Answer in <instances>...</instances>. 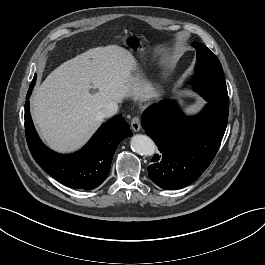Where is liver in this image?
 <instances>
[{
    "label": "liver",
    "instance_id": "liver-1",
    "mask_svg": "<svg viewBox=\"0 0 265 265\" xmlns=\"http://www.w3.org/2000/svg\"><path fill=\"white\" fill-rule=\"evenodd\" d=\"M136 61L118 45L96 47L53 70L31 97L32 117L53 150L80 149L101 125L98 112L125 98L143 99L149 83L133 77ZM92 91V92H91Z\"/></svg>",
    "mask_w": 265,
    "mask_h": 265
}]
</instances>
